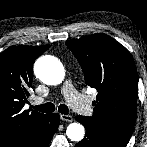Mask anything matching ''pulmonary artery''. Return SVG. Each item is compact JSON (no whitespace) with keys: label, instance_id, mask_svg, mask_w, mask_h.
I'll return each mask as SVG.
<instances>
[{"label":"pulmonary artery","instance_id":"obj_1","mask_svg":"<svg viewBox=\"0 0 147 147\" xmlns=\"http://www.w3.org/2000/svg\"><path fill=\"white\" fill-rule=\"evenodd\" d=\"M61 93L75 111L82 114L90 112L91 108L87 100L74 88L71 81H65L62 86ZM34 101L36 104H40L43 102V99L36 97Z\"/></svg>","mask_w":147,"mask_h":147}]
</instances>
